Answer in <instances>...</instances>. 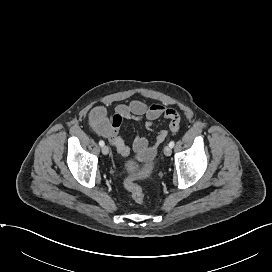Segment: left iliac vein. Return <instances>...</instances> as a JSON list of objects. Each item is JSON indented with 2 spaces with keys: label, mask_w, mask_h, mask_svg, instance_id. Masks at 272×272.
I'll return each instance as SVG.
<instances>
[{
  "label": "left iliac vein",
  "mask_w": 272,
  "mask_h": 272,
  "mask_svg": "<svg viewBox=\"0 0 272 272\" xmlns=\"http://www.w3.org/2000/svg\"><path fill=\"white\" fill-rule=\"evenodd\" d=\"M171 153H172V148H171L170 146H166V147L164 148V154H165L166 156H170Z\"/></svg>",
  "instance_id": "left-iliac-vein-1"
}]
</instances>
